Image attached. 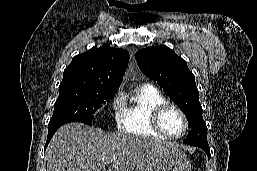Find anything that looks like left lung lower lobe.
I'll use <instances>...</instances> for the list:
<instances>
[{
	"mask_svg": "<svg viewBox=\"0 0 257 171\" xmlns=\"http://www.w3.org/2000/svg\"><path fill=\"white\" fill-rule=\"evenodd\" d=\"M193 146H196V147H199V148L203 149L206 152L208 158H210V148H209L208 144H196V145H193Z\"/></svg>",
	"mask_w": 257,
	"mask_h": 171,
	"instance_id": "obj_1",
	"label": "left lung lower lobe"
}]
</instances>
